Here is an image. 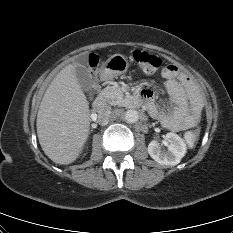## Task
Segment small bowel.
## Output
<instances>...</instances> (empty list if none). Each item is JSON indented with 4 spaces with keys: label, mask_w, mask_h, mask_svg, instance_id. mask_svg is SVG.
<instances>
[{
    "label": "small bowel",
    "mask_w": 233,
    "mask_h": 233,
    "mask_svg": "<svg viewBox=\"0 0 233 233\" xmlns=\"http://www.w3.org/2000/svg\"><path fill=\"white\" fill-rule=\"evenodd\" d=\"M162 76L175 108L170 112L159 109L153 102V93L144 90L141 96L145 99L148 110L167 129L180 131L192 127L198 121L203 106L198 88L191 77L176 65L166 66Z\"/></svg>",
    "instance_id": "1"
}]
</instances>
